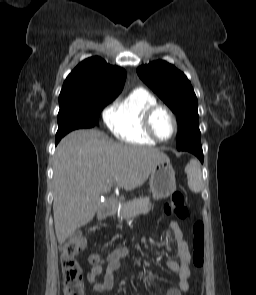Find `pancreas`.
Returning <instances> with one entry per match:
<instances>
[{
	"mask_svg": "<svg viewBox=\"0 0 256 295\" xmlns=\"http://www.w3.org/2000/svg\"><path fill=\"white\" fill-rule=\"evenodd\" d=\"M151 208L149 197H140L122 204L119 215L121 218H131L137 214H146Z\"/></svg>",
	"mask_w": 256,
	"mask_h": 295,
	"instance_id": "obj_1",
	"label": "pancreas"
}]
</instances>
